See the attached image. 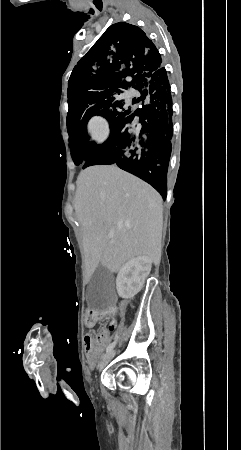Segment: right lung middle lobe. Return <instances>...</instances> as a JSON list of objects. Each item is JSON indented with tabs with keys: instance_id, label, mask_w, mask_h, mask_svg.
Listing matches in <instances>:
<instances>
[{
	"instance_id": "right-lung-middle-lobe-1",
	"label": "right lung middle lobe",
	"mask_w": 241,
	"mask_h": 450,
	"mask_svg": "<svg viewBox=\"0 0 241 450\" xmlns=\"http://www.w3.org/2000/svg\"><path fill=\"white\" fill-rule=\"evenodd\" d=\"M123 93L117 88L97 86L71 75L68 82V131L74 122L81 118L88 121L94 115L105 117L111 131L126 121L138 119L143 111L144 101L141 97L130 100ZM71 154L76 165L84 164L87 160L76 152Z\"/></svg>"
}]
</instances>
